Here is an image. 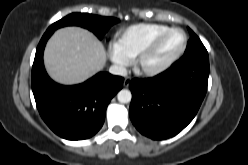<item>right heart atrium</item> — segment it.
Returning a JSON list of instances; mask_svg holds the SVG:
<instances>
[{"label":"right heart atrium","mask_w":248,"mask_h":165,"mask_svg":"<svg viewBox=\"0 0 248 165\" xmlns=\"http://www.w3.org/2000/svg\"><path fill=\"white\" fill-rule=\"evenodd\" d=\"M110 60L119 70H124L130 64V59L120 50L116 43H112L108 47Z\"/></svg>","instance_id":"d8ad5b80"}]
</instances>
